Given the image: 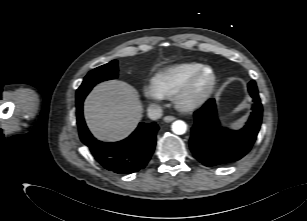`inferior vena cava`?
<instances>
[{
    "label": "inferior vena cava",
    "mask_w": 307,
    "mask_h": 221,
    "mask_svg": "<svg viewBox=\"0 0 307 221\" xmlns=\"http://www.w3.org/2000/svg\"><path fill=\"white\" fill-rule=\"evenodd\" d=\"M148 116L152 120H157L162 116V108L159 105L152 104L148 107Z\"/></svg>",
    "instance_id": "1"
}]
</instances>
